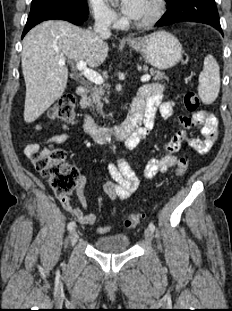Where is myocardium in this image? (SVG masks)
<instances>
[{
	"label": "myocardium",
	"mask_w": 232,
	"mask_h": 311,
	"mask_svg": "<svg viewBox=\"0 0 232 311\" xmlns=\"http://www.w3.org/2000/svg\"><path fill=\"white\" fill-rule=\"evenodd\" d=\"M152 4L151 13L142 21H134L132 24L139 29H146L155 25L163 16L165 10L164 0H150Z\"/></svg>",
	"instance_id": "myocardium-1"
}]
</instances>
